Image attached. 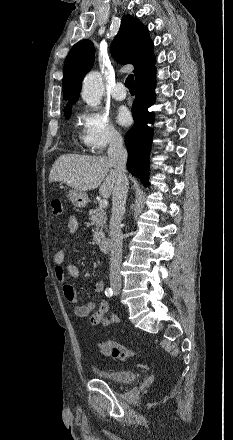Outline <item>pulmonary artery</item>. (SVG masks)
Returning <instances> with one entry per match:
<instances>
[{
  "label": "pulmonary artery",
  "instance_id": "1",
  "mask_svg": "<svg viewBox=\"0 0 233 440\" xmlns=\"http://www.w3.org/2000/svg\"><path fill=\"white\" fill-rule=\"evenodd\" d=\"M111 95L116 100H119V101L124 100L127 96V92L125 90L123 83L116 82L112 91H111Z\"/></svg>",
  "mask_w": 233,
  "mask_h": 440
}]
</instances>
